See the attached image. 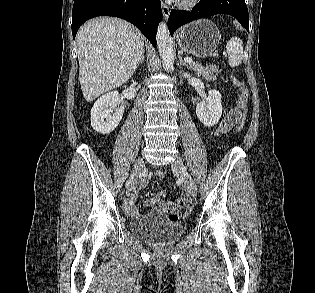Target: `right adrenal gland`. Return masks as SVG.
Returning a JSON list of instances; mask_svg holds the SVG:
<instances>
[{"mask_svg": "<svg viewBox=\"0 0 315 293\" xmlns=\"http://www.w3.org/2000/svg\"><path fill=\"white\" fill-rule=\"evenodd\" d=\"M143 63H144V52L142 53L141 59H140L137 66H139V64H143Z\"/></svg>", "mask_w": 315, "mask_h": 293, "instance_id": "1", "label": "right adrenal gland"}]
</instances>
